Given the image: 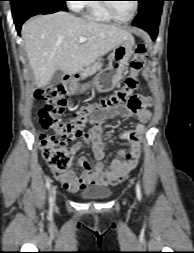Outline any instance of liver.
<instances>
[{
	"instance_id": "liver-1",
	"label": "liver",
	"mask_w": 194,
	"mask_h": 253,
	"mask_svg": "<svg viewBox=\"0 0 194 253\" xmlns=\"http://www.w3.org/2000/svg\"><path fill=\"white\" fill-rule=\"evenodd\" d=\"M37 87L47 85L59 69L73 75L133 36L117 25L98 23L67 12L39 15L21 29ZM86 38L80 42L79 38Z\"/></svg>"
}]
</instances>
